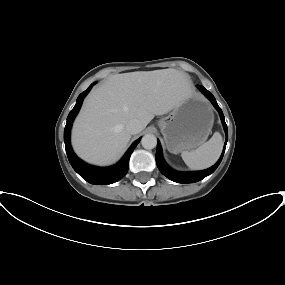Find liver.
<instances>
[{"label": "liver", "instance_id": "6515ba94", "mask_svg": "<svg viewBox=\"0 0 285 285\" xmlns=\"http://www.w3.org/2000/svg\"><path fill=\"white\" fill-rule=\"evenodd\" d=\"M192 95L189 75L176 69L112 75L86 97L73 124V149L92 164L115 162L130 141V120L140 121L143 130L155 115L170 112Z\"/></svg>", "mask_w": 285, "mask_h": 285}]
</instances>
